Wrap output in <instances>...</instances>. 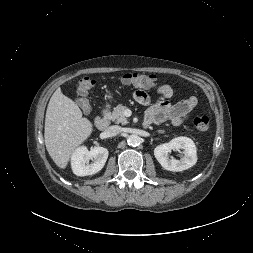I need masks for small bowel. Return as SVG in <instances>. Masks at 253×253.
<instances>
[{"label":"small bowel","instance_id":"obj_1","mask_svg":"<svg viewBox=\"0 0 253 253\" xmlns=\"http://www.w3.org/2000/svg\"><path fill=\"white\" fill-rule=\"evenodd\" d=\"M159 100L156 104L150 105V97L144 90H137L134 93V99L145 106H148L145 116V124H162L170 121L178 126L189 118L193 109L197 105V98L189 96L186 99L172 104L169 99L173 95V90L169 85H160L156 88Z\"/></svg>","mask_w":253,"mask_h":253}]
</instances>
